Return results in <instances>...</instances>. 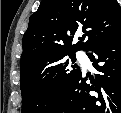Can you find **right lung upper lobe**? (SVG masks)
<instances>
[{"label": "right lung upper lobe", "instance_id": "1", "mask_svg": "<svg viewBox=\"0 0 121 113\" xmlns=\"http://www.w3.org/2000/svg\"><path fill=\"white\" fill-rule=\"evenodd\" d=\"M80 32L84 35L72 44ZM120 32L116 0H42L23 37L21 67L47 54L90 50Z\"/></svg>", "mask_w": 121, "mask_h": 113}]
</instances>
